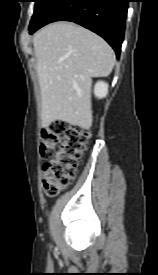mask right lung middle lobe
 Segmentation results:
<instances>
[{
  "label": "right lung middle lobe",
  "mask_w": 158,
  "mask_h": 275,
  "mask_svg": "<svg viewBox=\"0 0 158 275\" xmlns=\"http://www.w3.org/2000/svg\"><path fill=\"white\" fill-rule=\"evenodd\" d=\"M56 0H35V9L30 26L35 25Z\"/></svg>",
  "instance_id": "obj_1"
}]
</instances>
